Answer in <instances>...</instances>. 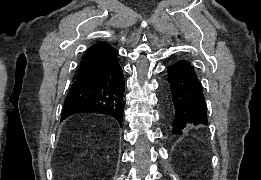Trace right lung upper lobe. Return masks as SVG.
<instances>
[{
    "instance_id": "right-lung-upper-lobe-1",
    "label": "right lung upper lobe",
    "mask_w": 261,
    "mask_h": 180,
    "mask_svg": "<svg viewBox=\"0 0 261 180\" xmlns=\"http://www.w3.org/2000/svg\"><path fill=\"white\" fill-rule=\"evenodd\" d=\"M117 50L107 42H98L88 48L79 65L77 75L90 68L115 63L117 60Z\"/></svg>"
}]
</instances>
